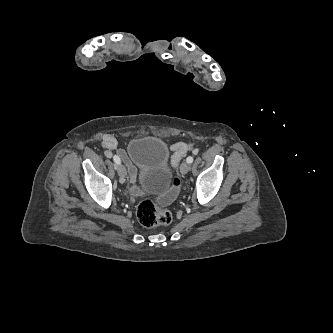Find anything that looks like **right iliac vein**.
<instances>
[{"instance_id": "1", "label": "right iliac vein", "mask_w": 333, "mask_h": 333, "mask_svg": "<svg viewBox=\"0 0 333 333\" xmlns=\"http://www.w3.org/2000/svg\"><path fill=\"white\" fill-rule=\"evenodd\" d=\"M116 170H117L118 175L120 177V181L124 182L126 174H127L126 168L122 164H119V165H117Z\"/></svg>"}]
</instances>
